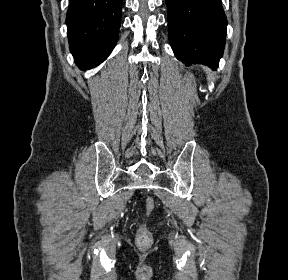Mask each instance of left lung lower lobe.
<instances>
[{
  "label": "left lung lower lobe",
  "instance_id": "obj_1",
  "mask_svg": "<svg viewBox=\"0 0 288 280\" xmlns=\"http://www.w3.org/2000/svg\"><path fill=\"white\" fill-rule=\"evenodd\" d=\"M169 39L178 60L217 69L227 19L221 0H166Z\"/></svg>",
  "mask_w": 288,
  "mask_h": 280
}]
</instances>
